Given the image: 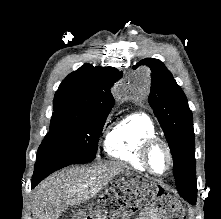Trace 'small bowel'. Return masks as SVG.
<instances>
[{
  "mask_svg": "<svg viewBox=\"0 0 221 219\" xmlns=\"http://www.w3.org/2000/svg\"><path fill=\"white\" fill-rule=\"evenodd\" d=\"M137 219H156L155 210L153 208L145 209Z\"/></svg>",
  "mask_w": 221,
  "mask_h": 219,
  "instance_id": "obj_1",
  "label": "small bowel"
}]
</instances>
